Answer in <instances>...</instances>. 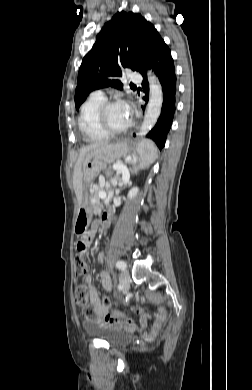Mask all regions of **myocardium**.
<instances>
[{
    "label": "myocardium",
    "instance_id": "1",
    "mask_svg": "<svg viewBox=\"0 0 252 390\" xmlns=\"http://www.w3.org/2000/svg\"><path fill=\"white\" fill-rule=\"evenodd\" d=\"M120 103H123V101L116 100V99L105 100L101 104V106L99 107V109L97 111V114H96L97 124H98L99 128L101 129V131L109 136H117V135L125 134L126 132H128L130 130V128L133 125V122L131 121L127 127H125L124 129H121V130H115L109 126L107 119H106L107 111L111 106H113L115 104H120Z\"/></svg>",
    "mask_w": 252,
    "mask_h": 390
}]
</instances>
